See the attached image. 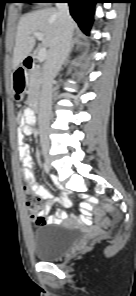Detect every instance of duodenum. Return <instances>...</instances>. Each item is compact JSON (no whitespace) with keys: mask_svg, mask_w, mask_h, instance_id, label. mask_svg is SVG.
I'll return each mask as SVG.
<instances>
[{"mask_svg":"<svg viewBox=\"0 0 136 296\" xmlns=\"http://www.w3.org/2000/svg\"><path fill=\"white\" fill-rule=\"evenodd\" d=\"M35 59L32 56H28L23 61V67L18 68L15 72V78L17 82L24 83L25 81V72L31 70L34 67Z\"/></svg>","mask_w":136,"mask_h":296,"instance_id":"obj_1","label":"duodenum"}]
</instances>
